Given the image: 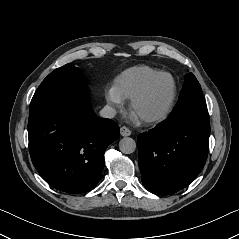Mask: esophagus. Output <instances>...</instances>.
Listing matches in <instances>:
<instances>
[{
  "mask_svg": "<svg viewBox=\"0 0 239 239\" xmlns=\"http://www.w3.org/2000/svg\"><path fill=\"white\" fill-rule=\"evenodd\" d=\"M131 133H132L131 130L128 129L127 127H125V126H123V127L120 128V134H121L122 136H130Z\"/></svg>",
  "mask_w": 239,
  "mask_h": 239,
  "instance_id": "1",
  "label": "esophagus"
}]
</instances>
